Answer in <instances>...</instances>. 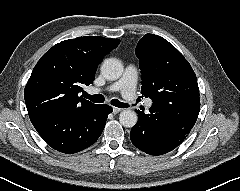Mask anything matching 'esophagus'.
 Returning <instances> with one entry per match:
<instances>
[{
    "mask_svg": "<svg viewBox=\"0 0 240 191\" xmlns=\"http://www.w3.org/2000/svg\"><path fill=\"white\" fill-rule=\"evenodd\" d=\"M121 110H122L121 108L113 107V113H114V114L119 113Z\"/></svg>",
    "mask_w": 240,
    "mask_h": 191,
    "instance_id": "obj_1",
    "label": "esophagus"
}]
</instances>
